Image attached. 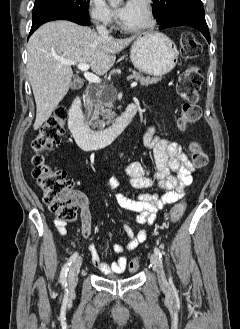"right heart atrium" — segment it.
<instances>
[{
  "mask_svg": "<svg viewBox=\"0 0 240 329\" xmlns=\"http://www.w3.org/2000/svg\"><path fill=\"white\" fill-rule=\"evenodd\" d=\"M89 14L99 26L109 27L113 24V17L103 0H89Z\"/></svg>",
  "mask_w": 240,
  "mask_h": 329,
  "instance_id": "1",
  "label": "right heart atrium"
}]
</instances>
